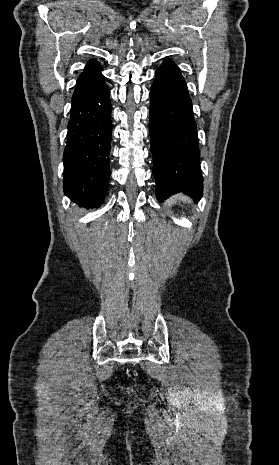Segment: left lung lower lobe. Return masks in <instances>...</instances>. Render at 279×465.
I'll list each match as a JSON object with an SVG mask.
<instances>
[{
    "instance_id": "obj_1",
    "label": "left lung lower lobe",
    "mask_w": 279,
    "mask_h": 465,
    "mask_svg": "<svg viewBox=\"0 0 279 465\" xmlns=\"http://www.w3.org/2000/svg\"><path fill=\"white\" fill-rule=\"evenodd\" d=\"M151 152L159 201L183 192L199 200L203 178L192 102L180 69L171 59L156 70L150 91Z\"/></svg>"
}]
</instances>
